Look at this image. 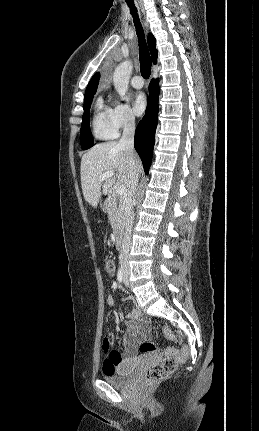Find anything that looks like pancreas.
Returning a JSON list of instances; mask_svg holds the SVG:
<instances>
[{
    "instance_id": "cf45deb5",
    "label": "pancreas",
    "mask_w": 259,
    "mask_h": 431,
    "mask_svg": "<svg viewBox=\"0 0 259 431\" xmlns=\"http://www.w3.org/2000/svg\"><path fill=\"white\" fill-rule=\"evenodd\" d=\"M125 200L118 196H113L108 204V219L113 228V233L117 236L125 223Z\"/></svg>"
}]
</instances>
